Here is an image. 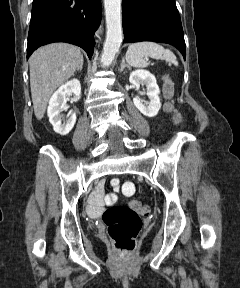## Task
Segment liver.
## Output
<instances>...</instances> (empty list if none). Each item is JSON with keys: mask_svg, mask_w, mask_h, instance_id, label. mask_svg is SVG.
I'll use <instances>...</instances> for the list:
<instances>
[{"mask_svg": "<svg viewBox=\"0 0 240 288\" xmlns=\"http://www.w3.org/2000/svg\"><path fill=\"white\" fill-rule=\"evenodd\" d=\"M83 62L78 47L67 43H52L37 49L29 59L30 87L34 114L44 117L50 96L65 83Z\"/></svg>", "mask_w": 240, "mask_h": 288, "instance_id": "liver-1", "label": "liver"}]
</instances>
